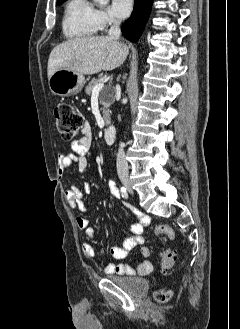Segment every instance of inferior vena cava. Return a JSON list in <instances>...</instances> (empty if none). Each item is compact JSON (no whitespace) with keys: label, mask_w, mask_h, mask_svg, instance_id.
<instances>
[{"label":"inferior vena cava","mask_w":240,"mask_h":329,"mask_svg":"<svg viewBox=\"0 0 240 329\" xmlns=\"http://www.w3.org/2000/svg\"><path fill=\"white\" fill-rule=\"evenodd\" d=\"M120 23L121 21L117 18L113 19V24L109 29L108 37L113 40H117L120 38ZM124 144L120 143V147L117 153V173L118 175H128V164L126 161L125 153H124Z\"/></svg>","instance_id":"inferior-vena-cava-1"}]
</instances>
